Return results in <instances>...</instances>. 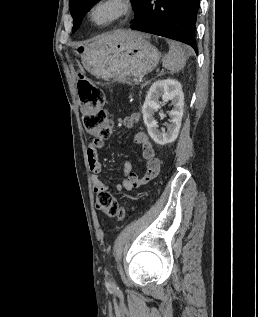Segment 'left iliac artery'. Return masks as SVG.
<instances>
[{
	"mask_svg": "<svg viewBox=\"0 0 258 317\" xmlns=\"http://www.w3.org/2000/svg\"><path fill=\"white\" fill-rule=\"evenodd\" d=\"M108 291L110 292V293H114V294H118V293H120L121 291H120V289H119V287L117 286V284H116V281L112 278V282H111V284H110V286H109V288H108Z\"/></svg>",
	"mask_w": 258,
	"mask_h": 317,
	"instance_id": "left-iliac-artery-1",
	"label": "left iliac artery"
}]
</instances>
